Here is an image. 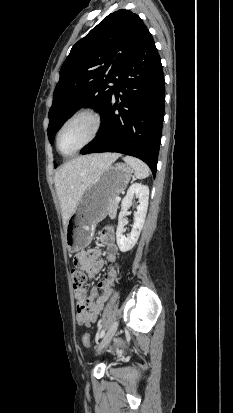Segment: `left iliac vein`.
Returning a JSON list of instances; mask_svg holds the SVG:
<instances>
[{
	"label": "left iliac vein",
	"mask_w": 233,
	"mask_h": 413,
	"mask_svg": "<svg viewBox=\"0 0 233 413\" xmlns=\"http://www.w3.org/2000/svg\"><path fill=\"white\" fill-rule=\"evenodd\" d=\"M117 329H118V321H114L112 325L110 326V328L108 329L107 333L105 334L104 338L98 345V348H97L98 353L102 351L110 343V341L116 334Z\"/></svg>",
	"instance_id": "left-iliac-vein-1"
}]
</instances>
